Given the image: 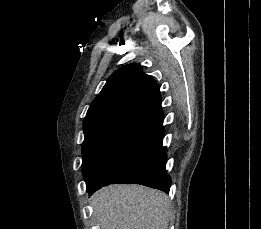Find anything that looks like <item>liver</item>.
Returning <instances> with one entry per match:
<instances>
[{
  "instance_id": "obj_1",
  "label": "liver",
  "mask_w": 261,
  "mask_h": 229,
  "mask_svg": "<svg viewBox=\"0 0 261 229\" xmlns=\"http://www.w3.org/2000/svg\"><path fill=\"white\" fill-rule=\"evenodd\" d=\"M101 229H168L172 211L165 193L140 185H109L92 199Z\"/></svg>"
}]
</instances>
